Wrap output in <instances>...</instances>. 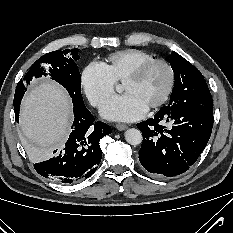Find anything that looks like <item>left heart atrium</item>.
<instances>
[{"label": "left heart atrium", "instance_id": "39dd6f15", "mask_svg": "<svg viewBox=\"0 0 233 233\" xmlns=\"http://www.w3.org/2000/svg\"><path fill=\"white\" fill-rule=\"evenodd\" d=\"M148 110L133 94L126 93L109 98L101 107L102 115L115 121H134L142 118Z\"/></svg>", "mask_w": 233, "mask_h": 233}]
</instances>
